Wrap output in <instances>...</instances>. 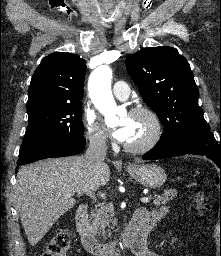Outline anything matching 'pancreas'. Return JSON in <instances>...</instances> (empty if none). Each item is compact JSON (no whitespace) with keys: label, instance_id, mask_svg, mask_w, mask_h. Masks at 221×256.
Segmentation results:
<instances>
[{"label":"pancreas","instance_id":"pancreas-1","mask_svg":"<svg viewBox=\"0 0 221 256\" xmlns=\"http://www.w3.org/2000/svg\"><path fill=\"white\" fill-rule=\"evenodd\" d=\"M177 195L176 190L164 191L162 195H154L153 205L160 206L167 204ZM113 206L111 204H102L99 208L92 209L89 224L91 229L98 236H106V231L110 235L112 227L111 222L114 221Z\"/></svg>","mask_w":221,"mask_h":256}]
</instances>
